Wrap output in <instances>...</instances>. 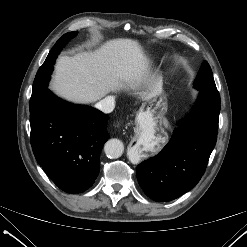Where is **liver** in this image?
Wrapping results in <instances>:
<instances>
[{
  "label": "liver",
  "instance_id": "6515ba94",
  "mask_svg": "<svg viewBox=\"0 0 247 247\" xmlns=\"http://www.w3.org/2000/svg\"><path fill=\"white\" fill-rule=\"evenodd\" d=\"M137 92L142 100L161 93L162 80L149 75V60L138 41L113 39L94 51L61 56L55 65L50 89L79 104L94 103L109 93Z\"/></svg>",
  "mask_w": 247,
  "mask_h": 247
}]
</instances>
